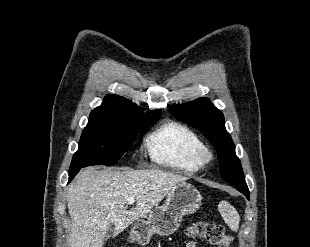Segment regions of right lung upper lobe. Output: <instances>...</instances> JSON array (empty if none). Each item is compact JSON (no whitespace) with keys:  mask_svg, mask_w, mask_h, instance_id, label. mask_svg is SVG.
<instances>
[{"mask_svg":"<svg viewBox=\"0 0 310 247\" xmlns=\"http://www.w3.org/2000/svg\"><path fill=\"white\" fill-rule=\"evenodd\" d=\"M105 116L134 121H145L161 116V111H150L142 114L140 108L124 97L108 95L100 107L94 109L90 117Z\"/></svg>","mask_w":310,"mask_h":247,"instance_id":"obj_1","label":"right lung upper lobe"}]
</instances>
